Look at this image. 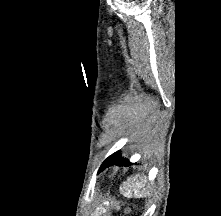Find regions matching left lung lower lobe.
<instances>
[{
	"mask_svg": "<svg viewBox=\"0 0 221 216\" xmlns=\"http://www.w3.org/2000/svg\"><path fill=\"white\" fill-rule=\"evenodd\" d=\"M129 165L128 160L121 158L120 152L109 156L101 165L99 172L111 165Z\"/></svg>",
	"mask_w": 221,
	"mask_h": 216,
	"instance_id": "0a47b994",
	"label": "left lung lower lobe"
}]
</instances>
